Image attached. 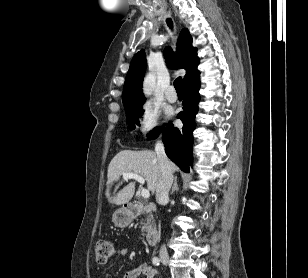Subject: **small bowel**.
Wrapping results in <instances>:
<instances>
[{"label":"small bowel","mask_w":308,"mask_h":278,"mask_svg":"<svg viewBox=\"0 0 308 278\" xmlns=\"http://www.w3.org/2000/svg\"><path fill=\"white\" fill-rule=\"evenodd\" d=\"M129 254L127 248H119L115 257H126ZM123 278H161L159 272L153 267L149 266L147 263H142L138 267L128 270Z\"/></svg>","instance_id":"c3829d8e"}]
</instances>
